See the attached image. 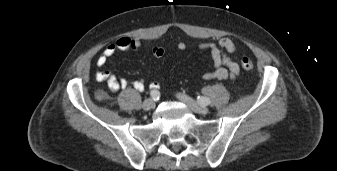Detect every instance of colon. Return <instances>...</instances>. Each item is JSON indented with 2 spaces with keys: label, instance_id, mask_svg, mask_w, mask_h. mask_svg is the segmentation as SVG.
<instances>
[{
  "label": "colon",
  "instance_id": "colon-1",
  "mask_svg": "<svg viewBox=\"0 0 337 171\" xmlns=\"http://www.w3.org/2000/svg\"><path fill=\"white\" fill-rule=\"evenodd\" d=\"M241 66L245 70H251L253 69L254 64H253V61L249 57H243L241 59Z\"/></svg>",
  "mask_w": 337,
  "mask_h": 171
}]
</instances>
